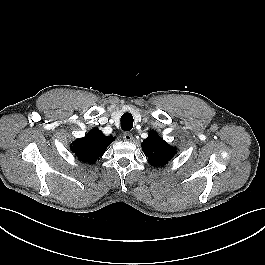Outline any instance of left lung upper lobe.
<instances>
[{
    "instance_id": "1",
    "label": "left lung upper lobe",
    "mask_w": 265,
    "mask_h": 265,
    "mask_svg": "<svg viewBox=\"0 0 265 265\" xmlns=\"http://www.w3.org/2000/svg\"><path fill=\"white\" fill-rule=\"evenodd\" d=\"M142 149L148 158V162L153 166H164L176 153V148L170 146L155 131H150L146 139L143 140Z\"/></svg>"
}]
</instances>
